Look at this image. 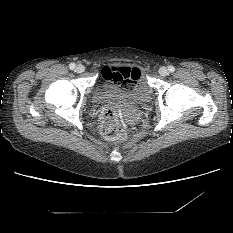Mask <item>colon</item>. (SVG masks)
<instances>
[{
    "mask_svg": "<svg viewBox=\"0 0 233 233\" xmlns=\"http://www.w3.org/2000/svg\"><path fill=\"white\" fill-rule=\"evenodd\" d=\"M116 79L125 90H130L135 86L136 77L133 70L122 67L115 72ZM125 107L120 104L104 105L100 111L101 133L111 141H125L127 131L124 126Z\"/></svg>",
    "mask_w": 233,
    "mask_h": 233,
    "instance_id": "1",
    "label": "colon"
}]
</instances>
